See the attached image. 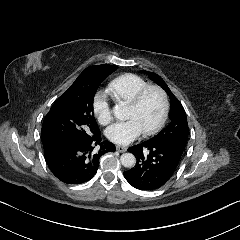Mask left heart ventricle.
I'll use <instances>...</instances> for the list:
<instances>
[{"label":"left heart ventricle","mask_w":240,"mask_h":240,"mask_svg":"<svg viewBox=\"0 0 240 240\" xmlns=\"http://www.w3.org/2000/svg\"><path fill=\"white\" fill-rule=\"evenodd\" d=\"M161 99L157 92H148L136 109L126 107L124 119L135 120L142 131L153 128L161 116Z\"/></svg>","instance_id":"1"}]
</instances>
